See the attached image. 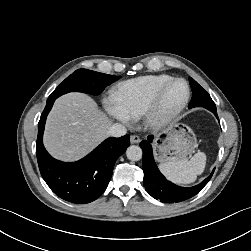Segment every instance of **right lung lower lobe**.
<instances>
[{
    "instance_id": "98d812e1",
    "label": "right lung lower lobe",
    "mask_w": 251,
    "mask_h": 251,
    "mask_svg": "<svg viewBox=\"0 0 251 251\" xmlns=\"http://www.w3.org/2000/svg\"><path fill=\"white\" fill-rule=\"evenodd\" d=\"M54 101L55 98H48L38 123L36 153L40 173L60 198L76 204L92 202L107 188L114 164L130 145V137L108 138L77 162L58 161L45 150L42 140L46 117Z\"/></svg>"
}]
</instances>
